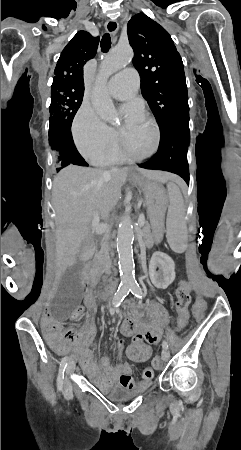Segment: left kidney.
<instances>
[{
  "label": "left kidney",
  "instance_id": "obj_1",
  "mask_svg": "<svg viewBox=\"0 0 241 450\" xmlns=\"http://www.w3.org/2000/svg\"><path fill=\"white\" fill-rule=\"evenodd\" d=\"M174 270L175 264L170 256L163 252H154L149 264V276L155 288L166 290L175 280Z\"/></svg>",
  "mask_w": 241,
  "mask_h": 450
}]
</instances>
